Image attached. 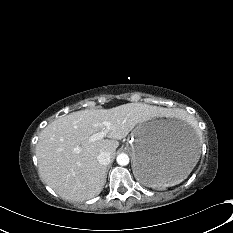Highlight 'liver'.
I'll return each instance as SVG.
<instances>
[{
  "label": "liver",
  "instance_id": "1",
  "mask_svg": "<svg viewBox=\"0 0 233 233\" xmlns=\"http://www.w3.org/2000/svg\"><path fill=\"white\" fill-rule=\"evenodd\" d=\"M172 117L168 109L143 103H127L111 109H85L70 113L48 124L36 146L39 175L61 198L84 201L103 189L106 169L97 156L115 155L119 141L138 124L155 117ZM108 139L90 142L89 138L106 130ZM79 149L76 150V149Z\"/></svg>",
  "mask_w": 233,
  "mask_h": 233
}]
</instances>
